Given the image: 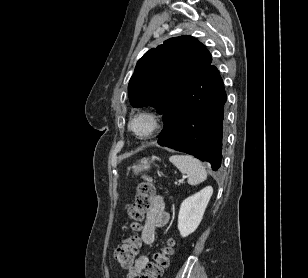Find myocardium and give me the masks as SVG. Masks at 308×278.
I'll return each instance as SVG.
<instances>
[{"instance_id": "f54148a6", "label": "myocardium", "mask_w": 308, "mask_h": 278, "mask_svg": "<svg viewBox=\"0 0 308 278\" xmlns=\"http://www.w3.org/2000/svg\"><path fill=\"white\" fill-rule=\"evenodd\" d=\"M139 119H145L148 121L149 127L144 133H138L134 130L133 124ZM162 122L160 116L152 111L143 110L133 114L128 121V130L136 138L140 140H147L153 138L161 129Z\"/></svg>"}]
</instances>
